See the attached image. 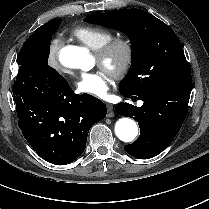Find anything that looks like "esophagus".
Returning a JSON list of instances; mask_svg holds the SVG:
<instances>
[{
  "label": "esophagus",
  "mask_w": 209,
  "mask_h": 209,
  "mask_svg": "<svg viewBox=\"0 0 209 209\" xmlns=\"http://www.w3.org/2000/svg\"><path fill=\"white\" fill-rule=\"evenodd\" d=\"M107 117H114V108L111 104H107Z\"/></svg>",
  "instance_id": "obj_1"
}]
</instances>
